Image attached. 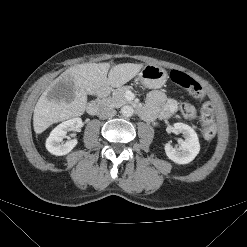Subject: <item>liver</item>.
<instances>
[{"mask_svg":"<svg viewBox=\"0 0 247 247\" xmlns=\"http://www.w3.org/2000/svg\"><path fill=\"white\" fill-rule=\"evenodd\" d=\"M142 68L143 64L122 63L110 69V64L106 62L71 67L55 79L38 99L33 114L35 133H42L54 123L81 116L87 105V94L93 95L107 86L120 87Z\"/></svg>","mask_w":247,"mask_h":247,"instance_id":"6515ba94","label":"liver"}]
</instances>
